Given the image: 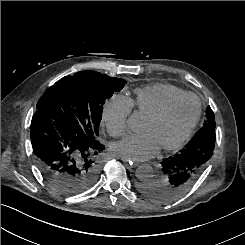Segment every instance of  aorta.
<instances>
[{
    "mask_svg": "<svg viewBox=\"0 0 245 245\" xmlns=\"http://www.w3.org/2000/svg\"><path fill=\"white\" fill-rule=\"evenodd\" d=\"M141 121L137 114H134L128 119V125L132 129H137L140 127ZM154 170L148 164H143L137 168L136 175L140 180H149L153 177Z\"/></svg>",
    "mask_w": 245,
    "mask_h": 245,
    "instance_id": "762f6f07",
    "label": "aorta"
}]
</instances>
